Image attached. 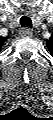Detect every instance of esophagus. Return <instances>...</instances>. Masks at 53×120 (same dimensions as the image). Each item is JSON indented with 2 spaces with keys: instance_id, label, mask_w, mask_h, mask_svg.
<instances>
[{
  "instance_id": "obj_1",
  "label": "esophagus",
  "mask_w": 53,
  "mask_h": 120,
  "mask_svg": "<svg viewBox=\"0 0 53 120\" xmlns=\"http://www.w3.org/2000/svg\"><path fill=\"white\" fill-rule=\"evenodd\" d=\"M20 34L22 37H31L33 32L30 28L26 27L21 30Z\"/></svg>"
}]
</instances>
